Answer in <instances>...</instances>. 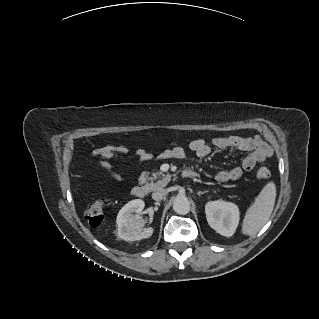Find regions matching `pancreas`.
Masks as SVG:
<instances>
[{
	"label": "pancreas",
	"mask_w": 319,
	"mask_h": 319,
	"mask_svg": "<svg viewBox=\"0 0 319 319\" xmlns=\"http://www.w3.org/2000/svg\"><path fill=\"white\" fill-rule=\"evenodd\" d=\"M170 178L171 176L169 174L154 172L151 177H146L144 184L149 191H154L159 188L165 187L170 181ZM157 179H160V180H157Z\"/></svg>",
	"instance_id": "cf45deb5"
}]
</instances>
